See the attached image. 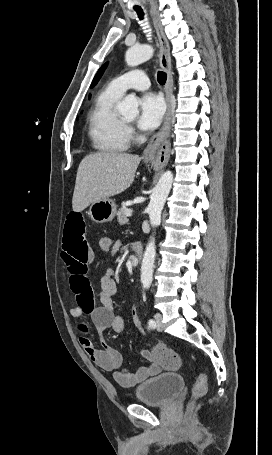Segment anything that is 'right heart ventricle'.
Returning a JSON list of instances; mask_svg holds the SVG:
<instances>
[{"instance_id":"right-heart-ventricle-1","label":"right heart ventricle","mask_w":272,"mask_h":455,"mask_svg":"<svg viewBox=\"0 0 272 455\" xmlns=\"http://www.w3.org/2000/svg\"><path fill=\"white\" fill-rule=\"evenodd\" d=\"M121 95L108 87L96 97L88 114L87 131L93 148L102 153H120L129 147V131L115 104Z\"/></svg>"}]
</instances>
